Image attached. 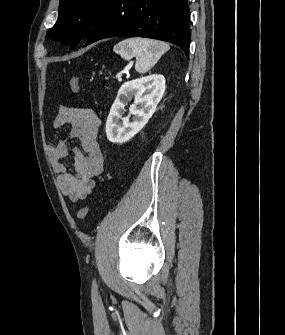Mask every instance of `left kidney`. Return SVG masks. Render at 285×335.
<instances>
[{
  "instance_id": "obj_1",
  "label": "left kidney",
  "mask_w": 285,
  "mask_h": 335,
  "mask_svg": "<svg viewBox=\"0 0 285 335\" xmlns=\"http://www.w3.org/2000/svg\"><path fill=\"white\" fill-rule=\"evenodd\" d=\"M165 82L161 74H151L145 78L125 82L121 86L106 122V136L109 142L124 144L146 126L157 104L162 100ZM130 96H134V104L129 108V116L122 118L125 108L124 98ZM130 116H134L133 122H130Z\"/></svg>"
}]
</instances>
